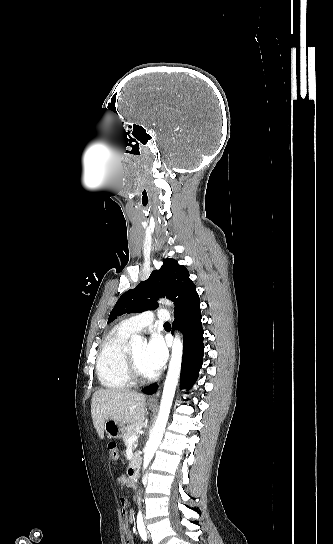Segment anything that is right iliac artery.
Returning <instances> with one entry per match:
<instances>
[{
  "label": "right iliac artery",
  "instance_id": "right-iliac-artery-1",
  "mask_svg": "<svg viewBox=\"0 0 333 544\" xmlns=\"http://www.w3.org/2000/svg\"><path fill=\"white\" fill-rule=\"evenodd\" d=\"M137 529H138V532H139L141 538L144 541H146L147 540L146 529H145V526H144L142 515L140 513L137 516Z\"/></svg>",
  "mask_w": 333,
  "mask_h": 544
}]
</instances>
